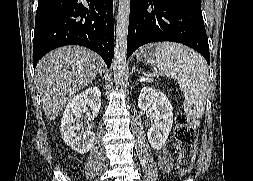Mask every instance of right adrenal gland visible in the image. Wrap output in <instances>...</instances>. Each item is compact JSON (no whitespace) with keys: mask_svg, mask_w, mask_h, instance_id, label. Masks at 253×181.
Returning a JSON list of instances; mask_svg holds the SVG:
<instances>
[{"mask_svg":"<svg viewBox=\"0 0 253 181\" xmlns=\"http://www.w3.org/2000/svg\"><path fill=\"white\" fill-rule=\"evenodd\" d=\"M99 75L101 76V78L103 77L102 70L99 71Z\"/></svg>","mask_w":253,"mask_h":181,"instance_id":"right-adrenal-gland-1","label":"right adrenal gland"}]
</instances>
